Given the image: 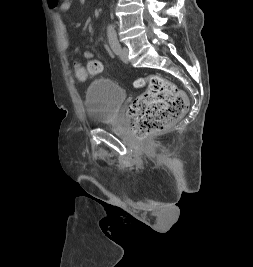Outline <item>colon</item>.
<instances>
[{"mask_svg": "<svg viewBox=\"0 0 253 267\" xmlns=\"http://www.w3.org/2000/svg\"><path fill=\"white\" fill-rule=\"evenodd\" d=\"M84 56L88 60L87 71L90 74L102 72L101 61L90 51H86ZM74 72L80 80L87 77L85 68L80 65L74 66ZM135 85H147V89L133 101L128 110L132 133L138 139L143 140L163 131L179 119L188 107L185 93L162 76L139 78Z\"/></svg>", "mask_w": 253, "mask_h": 267, "instance_id": "1", "label": "colon"}]
</instances>
